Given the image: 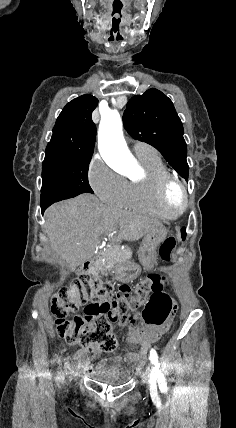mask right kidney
Listing matches in <instances>:
<instances>
[{
	"label": "right kidney",
	"mask_w": 236,
	"mask_h": 428,
	"mask_svg": "<svg viewBox=\"0 0 236 428\" xmlns=\"http://www.w3.org/2000/svg\"><path fill=\"white\" fill-rule=\"evenodd\" d=\"M72 292H77V288H73Z\"/></svg>",
	"instance_id": "ca27d5eb"
}]
</instances>
